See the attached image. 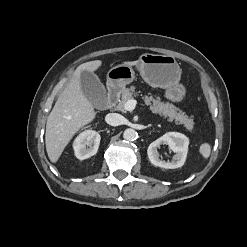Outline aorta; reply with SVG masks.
<instances>
[{"instance_id":"1","label":"aorta","mask_w":247,"mask_h":247,"mask_svg":"<svg viewBox=\"0 0 247 247\" xmlns=\"http://www.w3.org/2000/svg\"><path fill=\"white\" fill-rule=\"evenodd\" d=\"M123 138L127 141H134L137 138V132L132 128H128L124 131Z\"/></svg>"}]
</instances>
